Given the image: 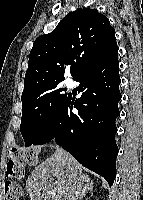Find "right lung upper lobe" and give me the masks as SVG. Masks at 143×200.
I'll return each mask as SVG.
<instances>
[{"instance_id":"right-lung-upper-lobe-1","label":"right lung upper lobe","mask_w":143,"mask_h":200,"mask_svg":"<svg viewBox=\"0 0 143 200\" xmlns=\"http://www.w3.org/2000/svg\"><path fill=\"white\" fill-rule=\"evenodd\" d=\"M115 48V31L104 15L90 8L70 12L51 33L35 40L23 92L48 82L64 80L69 65L74 79L86 66Z\"/></svg>"}]
</instances>
